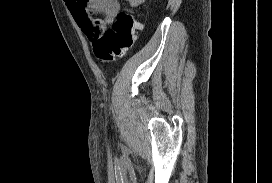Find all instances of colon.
<instances>
[{
    "label": "colon",
    "mask_w": 272,
    "mask_h": 183,
    "mask_svg": "<svg viewBox=\"0 0 272 183\" xmlns=\"http://www.w3.org/2000/svg\"><path fill=\"white\" fill-rule=\"evenodd\" d=\"M140 24L130 10L121 11L112 26L93 38V52L103 63H112L131 49Z\"/></svg>",
    "instance_id": "1"
}]
</instances>
